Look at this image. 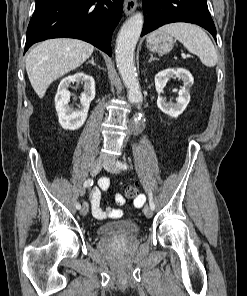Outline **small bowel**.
Returning a JSON list of instances; mask_svg holds the SVG:
<instances>
[{
	"mask_svg": "<svg viewBox=\"0 0 247 296\" xmlns=\"http://www.w3.org/2000/svg\"><path fill=\"white\" fill-rule=\"evenodd\" d=\"M110 186V180L106 177L100 179L98 187L92 189L89 195L91 211L95 218L103 220L107 217L116 218L120 215V210L107 208L103 209L100 205L101 202V194L103 191H107ZM145 196L139 195L134 201L133 205L135 207H141L145 202ZM115 202L118 205H123L125 203V198L122 194L117 193L115 195Z\"/></svg>",
	"mask_w": 247,
	"mask_h": 296,
	"instance_id": "1",
	"label": "small bowel"
}]
</instances>
